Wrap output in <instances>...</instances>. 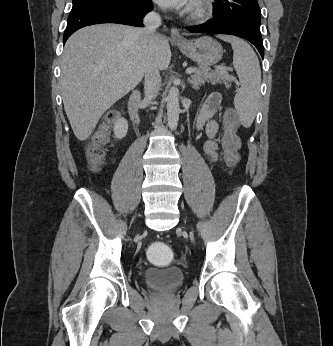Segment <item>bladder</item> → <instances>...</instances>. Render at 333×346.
<instances>
[{
  "label": "bladder",
  "mask_w": 333,
  "mask_h": 346,
  "mask_svg": "<svg viewBox=\"0 0 333 346\" xmlns=\"http://www.w3.org/2000/svg\"><path fill=\"white\" fill-rule=\"evenodd\" d=\"M143 284L157 291L173 292L184 284V274L174 268H148L142 274Z\"/></svg>",
  "instance_id": "obj_1"
}]
</instances>
